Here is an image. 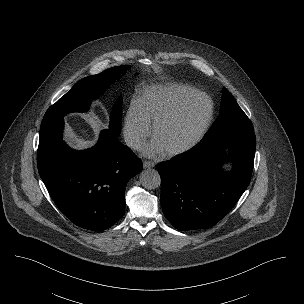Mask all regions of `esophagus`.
Returning a JSON list of instances; mask_svg holds the SVG:
<instances>
[{
  "label": "esophagus",
  "instance_id": "1",
  "mask_svg": "<svg viewBox=\"0 0 304 304\" xmlns=\"http://www.w3.org/2000/svg\"><path fill=\"white\" fill-rule=\"evenodd\" d=\"M155 166V164L153 163V162H151V161H147V160H145V161H143V167L146 169V168H152V167H154Z\"/></svg>",
  "mask_w": 304,
  "mask_h": 304
}]
</instances>
